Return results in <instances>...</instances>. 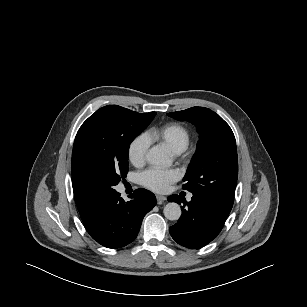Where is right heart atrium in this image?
I'll list each match as a JSON object with an SVG mask.
<instances>
[{
	"label": "right heart atrium",
	"instance_id": "1",
	"mask_svg": "<svg viewBox=\"0 0 307 307\" xmlns=\"http://www.w3.org/2000/svg\"><path fill=\"white\" fill-rule=\"evenodd\" d=\"M149 150V140L145 135L136 136L129 144L127 155L129 161L135 166L144 164Z\"/></svg>",
	"mask_w": 307,
	"mask_h": 307
}]
</instances>
